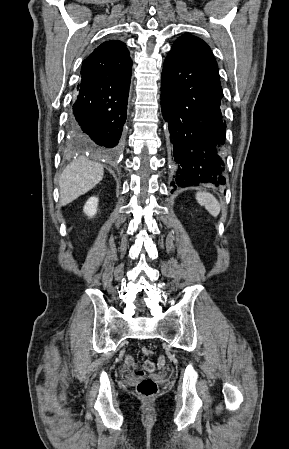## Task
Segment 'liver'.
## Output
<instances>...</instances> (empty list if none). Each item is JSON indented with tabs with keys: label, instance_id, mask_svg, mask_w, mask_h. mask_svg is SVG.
Wrapping results in <instances>:
<instances>
[{
	"label": "liver",
	"instance_id": "1",
	"mask_svg": "<svg viewBox=\"0 0 289 449\" xmlns=\"http://www.w3.org/2000/svg\"><path fill=\"white\" fill-rule=\"evenodd\" d=\"M104 175L103 166L80 157L70 163L59 180L60 205L66 206L94 188Z\"/></svg>",
	"mask_w": 289,
	"mask_h": 449
}]
</instances>
